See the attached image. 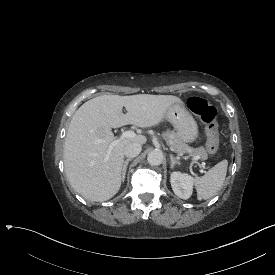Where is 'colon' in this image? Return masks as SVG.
<instances>
[{"label":"colon","mask_w":275,"mask_h":275,"mask_svg":"<svg viewBox=\"0 0 275 275\" xmlns=\"http://www.w3.org/2000/svg\"><path fill=\"white\" fill-rule=\"evenodd\" d=\"M188 108L192 113L200 118L203 122L207 134V150L210 154H214L219 148L218 110L210 102L204 98L191 97L187 102Z\"/></svg>","instance_id":"obj_1"}]
</instances>
